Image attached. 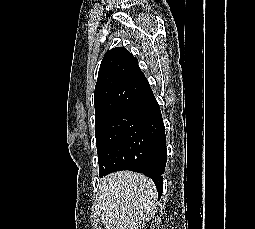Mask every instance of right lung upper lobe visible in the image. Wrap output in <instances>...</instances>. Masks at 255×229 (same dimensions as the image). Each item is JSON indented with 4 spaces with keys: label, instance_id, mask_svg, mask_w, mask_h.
I'll return each instance as SVG.
<instances>
[{
    "label": "right lung upper lobe",
    "instance_id": "obj_1",
    "mask_svg": "<svg viewBox=\"0 0 255 229\" xmlns=\"http://www.w3.org/2000/svg\"><path fill=\"white\" fill-rule=\"evenodd\" d=\"M153 97L137 58L123 47L113 48L101 62L95 86L96 129L109 118Z\"/></svg>",
    "mask_w": 255,
    "mask_h": 229
}]
</instances>
